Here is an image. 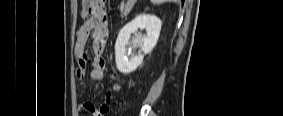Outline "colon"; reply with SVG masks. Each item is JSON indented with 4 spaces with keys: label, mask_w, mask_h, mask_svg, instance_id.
I'll use <instances>...</instances> for the list:
<instances>
[{
    "label": "colon",
    "mask_w": 283,
    "mask_h": 116,
    "mask_svg": "<svg viewBox=\"0 0 283 116\" xmlns=\"http://www.w3.org/2000/svg\"><path fill=\"white\" fill-rule=\"evenodd\" d=\"M114 88H115V89H118V86H117V85H115V86H114Z\"/></svg>",
    "instance_id": "colon-1"
}]
</instances>
